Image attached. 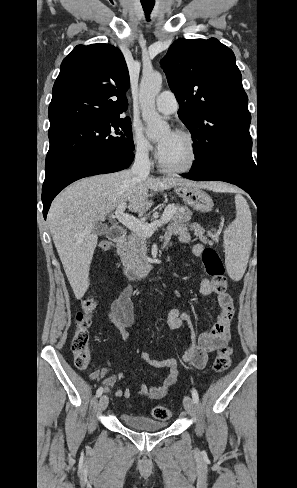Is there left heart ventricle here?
I'll use <instances>...</instances> for the list:
<instances>
[{
  "label": "left heart ventricle",
  "instance_id": "obj_1",
  "mask_svg": "<svg viewBox=\"0 0 297 488\" xmlns=\"http://www.w3.org/2000/svg\"><path fill=\"white\" fill-rule=\"evenodd\" d=\"M166 140V144L159 152L161 160L171 167L185 166L191 158V149L188 142L170 132H164L158 139L159 143Z\"/></svg>",
  "mask_w": 297,
  "mask_h": 488
}]
</instances>
